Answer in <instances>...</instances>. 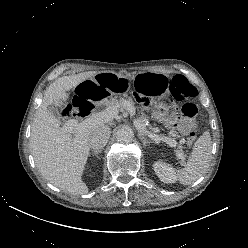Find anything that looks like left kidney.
I'll use <instances>...</instances> for the list:
<instances>
[{"instance_id":"left-kidney-1","label":"left kidney","mask_w":248,"mask_h":248,"mask_svg":"<svg viewBox=\"0 0 248 248\" xmlns=\"http://www.w3.org/2000/svg\"><path fill=\"white\" fill-rule=\"evenodd\" d=\"M154 171L160 180L164 183H175L177 180L174 169L160 161L154 164Z\"/></svg>"}]
</instances>
